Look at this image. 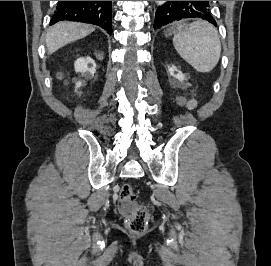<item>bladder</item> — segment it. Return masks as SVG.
<instances>
[{"label":"bladder","instance_id":"bladder-1","mask_svg":"<svg viewBox=\"0 0 271 266\" xmlns=\"http://www.w3.org/2000/svg\"><path fill=\"white\" fill-rule=\"evenodd\" d=\"M132 206H134V202H133V203H129L128 205H126V206L124 207V209H125V210H128V209H130Z\"/></svg>","mask_w":271,"mask_h":266}]
</instances>
